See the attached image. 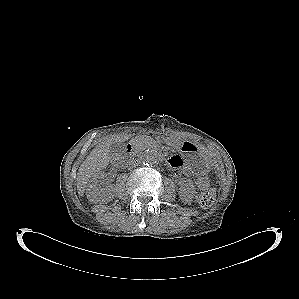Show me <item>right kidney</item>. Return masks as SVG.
Listing matches in <instances>:
<instances>
[{"mask_svg": "<svg viewBox=\"0 0 299 299\" xmlns=\"http://www.w3.org/2000/svg\"><path fill=\"white\" fill-rule=\"evenodd\" d=\"M106 177V173L101 171L95 174L89 181L86 189L87 199L92 203H107L112 200L114 186L106 183L103 187L100 182Z\"/></svg>", "mask_w": 299, "mask_h": 299, "instance_id": "ca27d5eb", "label": "right kidney"}]
</instances>
